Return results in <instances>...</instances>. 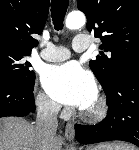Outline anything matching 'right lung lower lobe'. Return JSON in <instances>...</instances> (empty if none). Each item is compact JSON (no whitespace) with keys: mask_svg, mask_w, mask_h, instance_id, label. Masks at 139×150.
<instances>
[{"mask_svg":"<svg viewBox=\"0 0 139 150\" xmlns=\"http://www.w3.org/2000/svg\"><path fill=\"white\" fill-rule=\"evenodd\" d=\"M34 84L22 86L0 80V117L26 116L35 112Z\"/></svg>","mask_w":139,"mask_h":150,"instance_id":"obj_1","label":"right lung lower lobe"}]
</instances>
